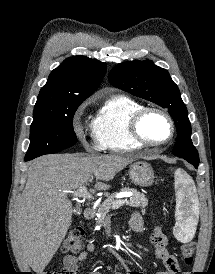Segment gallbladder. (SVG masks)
I'll list each match as a JSON object with an SVG mask.
<instances>
[{
    "mask_svg": "<svg viewBox=\"0 0 215 274\" xmlns=\"http://www.w3.org/2000/svg\"><path fill=\"white\" fill-rule=\"evenodd\" d=\"M76 212L77 213L81 212V209L80 208H76Z\"/></svg>",
    "mask_w": 215,
    "mask_h": 274,
    "instance_id": "bac80fb5",
    "label": "gallbladder"
}]
</instances>
